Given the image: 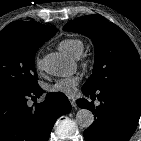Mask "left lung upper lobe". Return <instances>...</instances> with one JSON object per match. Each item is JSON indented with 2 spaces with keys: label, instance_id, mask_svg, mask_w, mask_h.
<instances>
[{
  "label": "left lung upper lobe",
  "instance_id": "left-lung-upper-lobe-1",
  "mask_svg": "<svg viewBox=\"0 0 141 141\" xmlns=\"http://www.w3.org/2000/svg\"><path fill=\"white\" fill-rule=\"evenodd\" d=\"M65 31L88 36L95 46L93 74L83 88L96 92L107 87H141V61L126 33L98 15L68 22Z\"/></svg>",
  "mask_w": 141,
  "mask_h": 141
}]
</instances>
